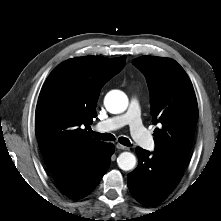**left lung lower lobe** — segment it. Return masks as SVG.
<instances>
[{
	"instance_id": "obj_1",
	"label": "left lung lower lobe",
	"mask_w": 221,
	"mask_h": 221,
	"mask_svg": "<svg viewBox=\"0 0 221 221\" xmlns=\"http://www.w3.org/2000/svg\"><path fill=\"white\" fill-rule=\"evenodd\" d=\"M137 168L128 174V187L132 196L142 204L157 205L175 188L184 170L183 163L154 152L136 148Z\"/></svg>"
}]
</instances>
